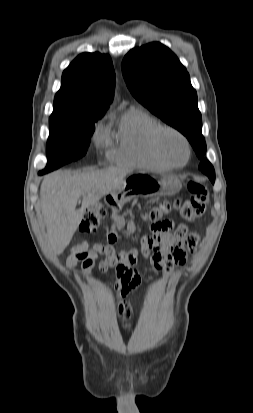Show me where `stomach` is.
I'll return each mask as SVG.
<instances>
[{
    "label": "stomach",
    "instance_id": "1",
    "mask_svg": "<svg viewBox=\"0 0 253 413\" xmlns=\"http://www.w3.org/2000/svg\"><path fill=\"white\" fill-rule=\"evenodd\" d=\"M181 181L175 176L157 177L146 172H137L123 180L106 198L113 204L122 206L134 197L171 196L180 191Z\"/></svg>",
    "mask_w": 253,
    "mask_h": 413
}]
</instances>
